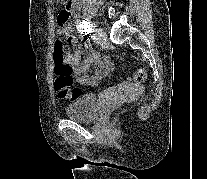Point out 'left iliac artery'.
Here are the masks:
<instances>
[{"instance_id": "1", "label": "left iliac artery", "mask_w": 207, "mask_h": 179, "mask_svg": "<svg viewBox=\"0 0 207 179\" xmlns=\"http://www.w3.org/2000/svg\"><path fill=\"white\" fill-rule=\"evenodd\" d=\"M88 24V22H86ZM90 31L92 32V35H96L97 29L95 23H89Z\"/></svg>"}]
</instances>
